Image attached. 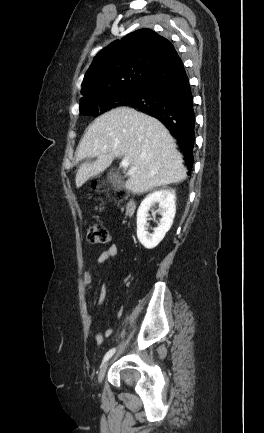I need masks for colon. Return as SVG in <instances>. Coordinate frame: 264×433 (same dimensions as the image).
<instances>
[{
    "instance_id": "1",
    "label": "colon",
    "mask_w": 264,
    "mask_h": 433,
    "mask_svg": "<svg viewBox=\"0 0 264 433\" xmlns=\"http://www.w3.org/2000/svg\"><path fill=\"white\" fill-rule=\"evenodd\" d=\"M94 187L98 188V185L95 184ZM126 195V192L122 190L116 192V197L119 199H124ZM87 241L94 245H105L111 241V234L104 226L94 224L87 231Z\"/></svg>"
}]
</instances>
